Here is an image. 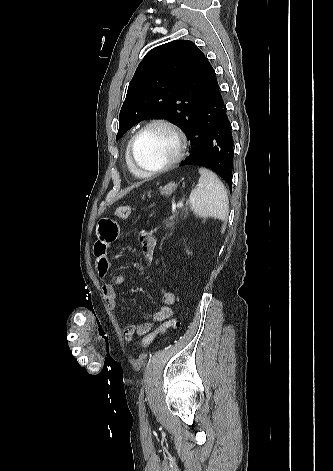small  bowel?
I'll list each match as a JSON object with an SVG mask.
<instances>
[{
  "label": "small bowel",
  "instance_id": "c3829d8e",
  "mask_svg": "<svg viewBox=\"0 0 333 471\" xmlns=\"http://www.w3.org/2000/svg\"><path fill=\"white\" fill-rule=\"evenodd\" d=\"M119 225L117 221L110 217H103L97 224V240L94 244V256L97 272L100 277H105L111 268L108 258V249L110 244L118 237ZM140 240L142 242L143 253L149 262L153 261L156 248V238L149 231L140 232ZM125 277L122 274H116L111 282L102 285V292L106 305L110 309H114L117 304L116 289L122 286ZM161 308L154 314L152 319L139 325L129 324L124 329V338L126 341H132L135 335H145L149 333L155 324L161 323L172 317L174 311L173 306L176 302L175 294L171 291H165L162 294Z\"/></svg>",
  "mask_w": 333,
  "mask_h": 471
}]
</instances>
